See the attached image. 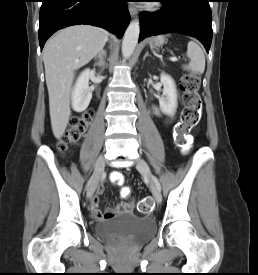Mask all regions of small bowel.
Here are the masks:
<instances>
[{
  "mask_svg": "<svg viewBox=\"0 0 258 275\" xmlns=\"http://www.w3.org/2000/svg\"><path fill=\"white\" fill-rule=\"evenodd\" d=\"M154 114L158 117H162V113L158 108H154ZM172 118H167L166 123H170ZM104 191V186L102 184H97L94 190V195H92L90 202V210L94 217L96 218H112L116 213H128L133 209L134 202H121L116 207L110 208L105 212H102L99 209V195H101Z\"/></svg>",
  "mask_w": 258,
  "mask_h": 275,
  "instance_id": "obj_1",
  "label": "small bowel"
}]
</instances>
